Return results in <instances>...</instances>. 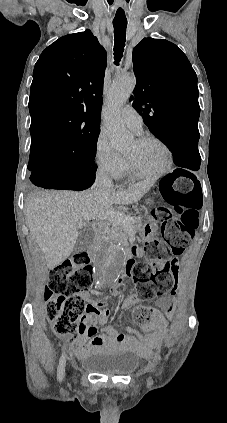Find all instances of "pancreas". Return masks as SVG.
I'll list each match as a JSON object with an SVG mask.
<instances>
[{
  "mask_svg": "<svg viewBox=\"0 0 227 423\" xmlns=\"http://www.w3.org/2000/svg\"><path fill=\"white\" fill-rule=\"evenodd\" d=\"M121 213H124V211H121ZM125 215L134 217L133 223L131 221L118 223V221H106V219H102V221H99L98 233L103 235L104 239H117V241H121V239H126L129 233L139 231L142 227V217L140 215H133V213H125Z\"/></svg>",
  "mask_w": 227,
  "mask_h": 423,
  "instance_id": "obj_1",
  "label": "pancreas"
}]
</instances>
